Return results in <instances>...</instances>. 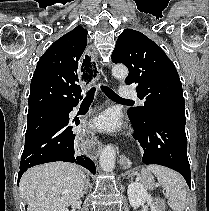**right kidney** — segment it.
<instances>
[{"label":"right kidney","instance_id":"obj_1","mask_svg":"<svg viewBox=\"0 0 209 211\" xmlns=\"http://www.w3.org/2000/svg\"><path fill=\"white\" fill-rule=\"evenodd\" d=\"M60 211H69L67 208H65V209H62V210H60Z\"/></svg>","mask_w":209,"mask_h":211}]
</instances>
